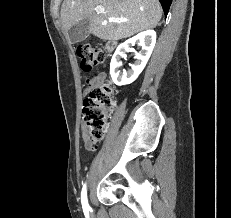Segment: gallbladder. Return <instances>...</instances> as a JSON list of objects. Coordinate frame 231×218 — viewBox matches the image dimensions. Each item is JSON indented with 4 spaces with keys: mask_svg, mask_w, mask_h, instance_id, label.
I'll return each mask as SVG.
<instances>
[{
    "mask_svg": "<svg viewBox=\"0 0 231 218\" xmlns=\"http://www.w3.org/2000/svg\"><path fill=\"white\" fill-rule=\"evenodd\" d=\"M90 20L88 18L82 19L76 22L69 30H68V38L72 44L78 43L84 40L90 30Z\"/></svg>",
    "mask_w": 231,
    "mask_h": 218,
    "instance_id": "gallbladder-1",
    "label": "gallbladder"
}]
</instances>
